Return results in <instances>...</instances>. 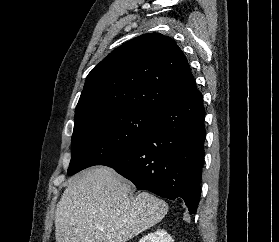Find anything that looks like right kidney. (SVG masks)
<instances>
[{
  "instance_id": "ca27d5eb",
  "label": "right kidney",
  "mask_w": 279,
  "mask_h": 242,
  "mask_svg": "<svg viewBox=\"0 0 279 242\" xmlns=\"http://www.w3.org/2000/svg\"><path fill=\"white\" fill-rule=\"evenodd\" d=\"M139 242H174L172 237L163 229L148 233Z\"/></svg>"
}]
</instances>
